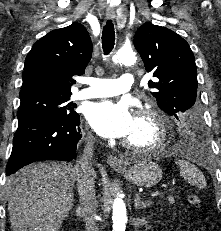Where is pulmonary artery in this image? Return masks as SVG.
Listing matches in <instances>:
<instances>
[{
	"label": "pulmonary artery",
	"mask_w": 221,
	"mask_h": 231,
	"mask_svg": "<svg viewBox=\"0 0 221 231\" xmlns=\"http://www.w3.org/2000/svg\"><path fill=\"white\" fill-rule=\"evenodd\" d=\"M85 83L89 86L79 90L75 95L76 99L120 95L133 87L134 77L131 73H124L118 80L88 78Z\"/></svg>",
	"instance_id": "pulmonary-artery-1"
}]
</instances>
